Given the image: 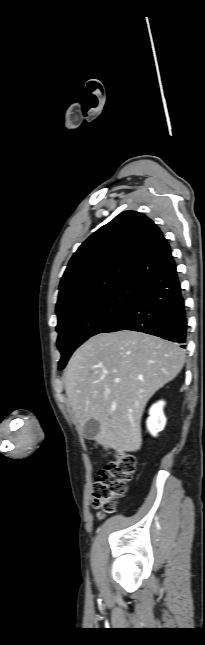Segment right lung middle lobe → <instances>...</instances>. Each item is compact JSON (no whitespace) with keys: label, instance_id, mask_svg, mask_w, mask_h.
Instances as JSON below:
<instances>
[{"label":"right lung middle lobe","instance_id":"obj_1","mask_svg":"<svg viewBox=\"0 0 205 645\" xmlns=\"http://www.w3.org/2000/svg\"><path fill=\"white\" fill-rule=\"evenodd\" d=\"M139 285L126 283L106 292L77 300L57 313V346L63 369L73 351L89 337L101 333L137 299Z\"/></svg>","mask_w":205,"mask_h":645}]
</instances>
